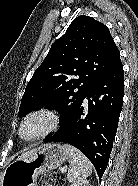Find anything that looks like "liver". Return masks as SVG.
I'll return each mask as SVG.
<instances>
[{
    "label": "liver",
    "instance_id": "1",
    "mask_svg": "<svg viewBox=\"0 0 138 186\" xmlns=\"http://www.w3.org/2000/svg\"><path fill=\"white\" fill-rule=\"evenodd\" d=\"M31 151H32V150H31ZM31 151H28V152L23 153L21 157L27 156Z\"/></svg>",
    "mask_w": 138,
    "mask_h": 186
}]
</instances>
